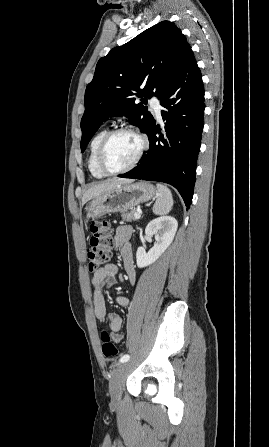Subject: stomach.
Wrapping results in <instances>:
<instances>
[{
  "instance_id": "1",
  "label": "stomach",
  "mask_w": 269,
  "mask_h": 447,
  "mask_svg": "<svg viewBox=\"0 0 269 447\" xmlns=\"http://www.w3.org/2000/svg\"><path fill=\"white\" fill-rule=\"evenodd\" d=\"M155 196V188L149 182H137V184H119L110 192H105L101 196L89 202L86 208L87 218L97 220L104 214L111 212H124L141 202L152 200Z\"/></svg>"
}]
</instances>
